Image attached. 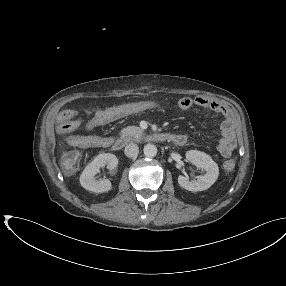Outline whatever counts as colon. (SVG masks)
<instances>
[{
	"instance_id": "obj_1",
	"label": "colon",
	"mask_w": 286,
	"mask_h": 286,
	"mask_svg": "<svg viewBox=\"0 0 286 286\" xmlns=\"http://www.w3.org/2000/svg\"><path fill=\"white\" fill-rule=\"evenodd\" d=\"M112 113H113V110H106L103 115L105 117H110ZM79 161H80V156H79V153L76 151H70L66 153L62 158V164L64 165L66 169L75 168L78 165ZM233 167H234L233 160H229L225 163V168L227 170H232Z\"/></svg>"
}]
</instances>
